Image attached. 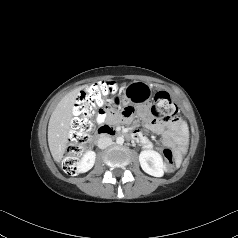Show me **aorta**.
I'll list each match as a JSON object with an SVG mask.
<instances>
[{
  "label": "aorta",
  "instance_id": "1",
  "mask_svg": "<svg viewBox=\"0 0 238 238\" xmlns=\"http://www.w3.org/2000/svg\"><path fill=\"white\" fill-rule=\"evenodd\" d=\"M116 143L119 144V145H122L124 143V138L123 137H117L116 138Z\"/></svg>",
  "mask_w": 238,
  "mask_h": 238
}]
</instances>
